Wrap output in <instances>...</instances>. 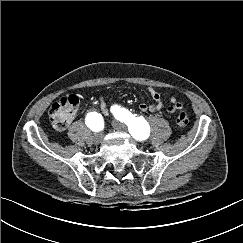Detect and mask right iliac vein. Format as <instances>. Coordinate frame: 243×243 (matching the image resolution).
Wrapping results in <instances>:
<instances>
[{
    "mask_svg": "<svg viewBox=\"0 0 243 243\" xmlns=\"http://www.w3.org/2000/svg\"><path fill=\"white\" fill-rule=\"evenodd\" d=\"M93 138L95 143H100L103 138V133L102 132L95 133Z\"/></svg>",
    "mask_w": 243,
    "mask_h": 243,
    "instance_id": "1",
    "label": "right iliac vein"
}]
</instances>
